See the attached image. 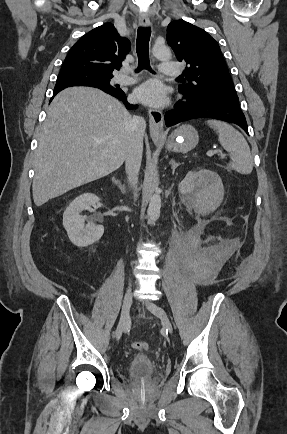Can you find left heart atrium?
<instances>
[{"instance_id": "left-heart-atrium-1", "label": "left heart atrium", "mask_w": 287, "mask_h": 434, "mask_svg": "<svg viewBox=\"0 0 287 434\" xmlns=\"http://www.w3.org/2000/svg\"><path fill=\"white\" fill-rule=\"evenodd\" d=\"M135 98L149 106L160 107L167 101L165 88L157 81H148L135 91Z\"/></svg>"}]
</instances>
